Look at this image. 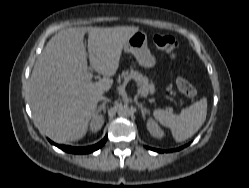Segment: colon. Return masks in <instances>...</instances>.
<instances>
[{
  "mask_svg": "<svg viewBox=\"0 0 249 188\" xmlns=\"http://www.w3.org/2000/svg\"><path fill=\"white\" fill-rule=\"evenodd\" d=\"M153 44L160 50L170 55H175L178 48V41L170 35L155 34L152 38ZM178 89L187 97L192 98L196 95L195 87L185 78L178 77L176 80Z\"/></svg>",
  "mask_w": 249,
  "mask_h": 188,
  "instance_id": "obj_1",
  "label": "colon"
}]
</instances>
